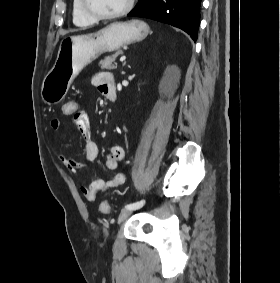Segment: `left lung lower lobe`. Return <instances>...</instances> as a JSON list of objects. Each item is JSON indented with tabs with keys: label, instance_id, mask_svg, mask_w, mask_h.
Wrapping results in <instances>:
<instances>
[{
	"label": "left lung lower lobe",
	"instance_id": "left-lung-lower-lobe-1",
	"mask_svg": "<svg viewBox=\"0 0 280 283\" xmlns=\"http://www.w3.org/2000/svg\"><path fill=\"white\" fill-rule=\"evenodd\" d=\"M202 0H139L128 14L144 17L178 27L196 41L200 25Z\"/></svg>",
	"mask_w": 280,
	"mask_h": 283
}]
</instances>
